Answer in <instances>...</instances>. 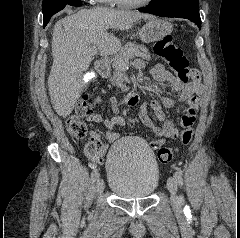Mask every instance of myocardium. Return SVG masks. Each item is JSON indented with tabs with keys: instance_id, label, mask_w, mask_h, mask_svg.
<instances>
[{
	"instance_id": "obj_1",
	"label": "myocardium",
	"mask_w": 240,
	"mask_h": 238,
	"mask_svg": "<svg viewBox=\"0 0 240 238\" xmlns=\"http://www.w3.org/2000/svg\"><path fill=\"white\" fill-rule=\"evenodd\" d=\"M152 0H143L140 2H127L124 0H113L115 4H117L120 7L124 8H138V7H143L151 3Z\"/></svg>"
}]
</instances>
